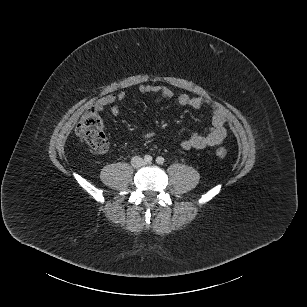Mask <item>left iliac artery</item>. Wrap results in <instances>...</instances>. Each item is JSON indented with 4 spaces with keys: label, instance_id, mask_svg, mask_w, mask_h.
<instances>
[{
    "label": "left iliac artery",
    "instance_id": "obj_1",
    "mask_svg": "<svg viewBox=\"0 0 307 307\" xmlns=\"http://www.w3.org/2000/svg\"><path fill=\"white\" fill-rule=\"evenodd\" d=\"M164 161H165L164 158L161 157V156H159V157L156 158V162H157L158 164H163Z\"/></svg>",
    "mask_w": 307,
    "mask_h": 307
}]
</instances>
